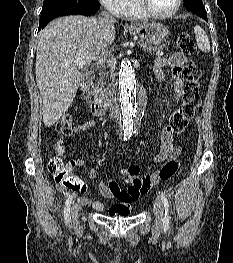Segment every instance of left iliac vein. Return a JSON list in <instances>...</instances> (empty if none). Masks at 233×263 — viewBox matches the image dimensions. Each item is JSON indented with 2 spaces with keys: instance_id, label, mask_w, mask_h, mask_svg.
<instances>
[{
  "instance_id": "4c4485c4",
  "label": "left iliac vein",
  "mask_w": 233,
  "mask_h": 263,
  "mask_svg": "<svg viewBox=\"0 0 233 263\" xmlns=\"http://www.w3.org/2000/svg\"><path fill=\"white\" fill-rule=\"evenodd\" d=\"M154 211L156 214L155 228L161 229L163 226L164 207L160 198H156L154 201Z\"/></svg>"
}]
</instances>
